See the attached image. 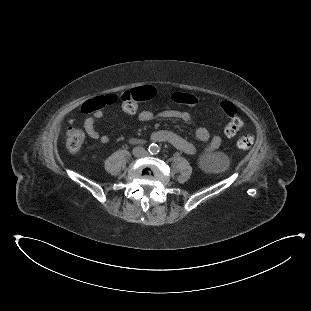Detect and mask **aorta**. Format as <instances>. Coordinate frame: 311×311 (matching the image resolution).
I'll list each match as a JSON object with an SVG mask.
<instances>
[{"instance_id": "aorta-1", "label": "aorta", "mask_w": 311, "mask_h": 311, "mask_svg": "<svg viewBox=\"0 0 311 311\" xmlns=\"http://www.w3.org/2000/svg\"><path fill=\"white\" fill-rule=\"evenodd\" d=\"M149 151L152 154H157L160 151V147L157 144H151L149 147Z\"/></svg>"}]
</instances>
